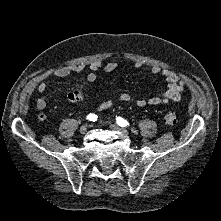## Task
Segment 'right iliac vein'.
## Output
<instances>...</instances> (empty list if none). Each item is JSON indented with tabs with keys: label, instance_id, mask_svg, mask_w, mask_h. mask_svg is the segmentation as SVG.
<instances>
[{
	"label": "right iliac vein",
	"instance_id": "obj_1",
	"mask_svg": "<svg viewBox=\"0 0 221 221\" xmlns=\"http://www.w3.org/2000/svg\"><path fill=\"white\" fill-rule=\"evenodd\" d=\"M79 131L81 134H85L87 132V126H85V125L81 126Z\"/></svg>",
	"mask_w": 221,
	"mask_h": 221
}]
</instances>
